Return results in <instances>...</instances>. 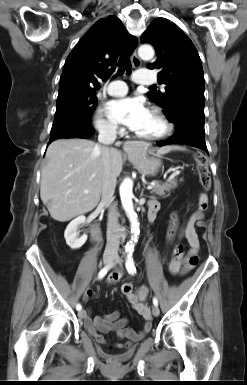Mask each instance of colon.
Segmentation results:
<instances>
[{
  "label": "colon",
  "mask_w": 247,
  "mask_h": 385,
  "mask_svg": "<svg viewBox=\"0 0 247 385\" xmlns=\"http://www.w3.org/2000/svg\"><path fill=\"white\" fill-rule=\"evenodd\" d=\"M196 160H197V170L199 173V179H200L201 186L203 188V192L199 196L198 209L200 211H205L208 208V203H209L208 195L206 192L210 189V186H211V176L208 168L207 158L204 155H197ZM183 256H184L183 245L180 243H176L173 248V260L181 261ZM188 262L191 265L197 264L198 258L196 256H193L189 259ZM121 290L124 295L131 292L130 287L128 285H123Z\"/></svg>",
  "instance_id": "5ec220e1"
}]
</instances>
